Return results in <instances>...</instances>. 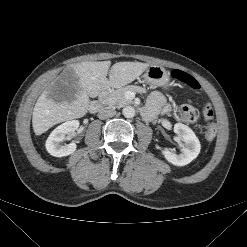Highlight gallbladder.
<instances>
[{"instance_id": "1", "label": "gallbladder", "mask_w": 247, "mask_h": 247, "mask_svg": "<svg viewBox=\"0 0 247 247\" xmlns=\"http://www.w3.org/2000/svg\"><path fill=\"white\" fill-rule=\"evenodd\" d=\"M68 88H69V82L63 78L58 79L55 82L54 86L52 87L54 91H61V92L67 90Z\"/></svg>"}]
</instances>
